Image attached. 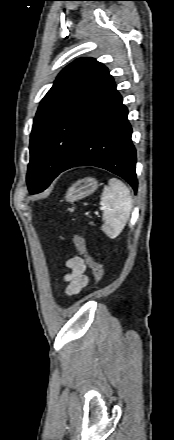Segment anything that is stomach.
I'll list each match as a JSON object with an SVG mask.
<instances>
[{
  "label": "stomach",
  "instance_id": "1",
  "mask_svg": "<svg viewBox=\"0 0 174 440\" xmlns=\"http://www.w3.org/2000/svg\"><path fill=\"white\" fill-rule=\"evenodd\" d=\"M99 186L98 181L93 177H86L76 181L69 187L66 193V201L74 202L92 194Z\"/></svg>",
  "mask_w": 174,
  "mask_h": 440
}]
</instances>
